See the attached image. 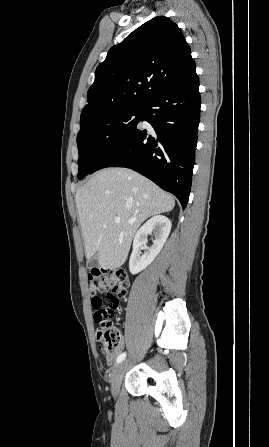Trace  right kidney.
Instances as JSON below:
<instances>
[{
    "instance_id": "ca27d5eb",
    "label": "right kidney",
    "mask_w": 269,
    "mask_h": 447,
    "mask_svg": "<svg viewBox=\"0 0 269 447\" xmlns=\"http://www.w3.org/2000/svg\"><path fill=\"white\" fill-rule=\"evenodd\" d=\"M170 229L171 222L166 216H153L138 229L137 233H135L133 249L129 259V269L133 275L145 269L155 259L156 255L161 251ZM152 231H154L155 239H153L152 245L147 247V251L140 255L139 247L147 243V237Z\"/></svg>"
}]
</instances>
